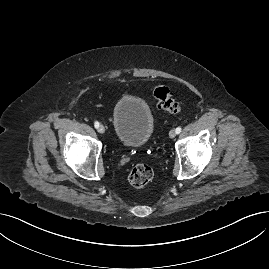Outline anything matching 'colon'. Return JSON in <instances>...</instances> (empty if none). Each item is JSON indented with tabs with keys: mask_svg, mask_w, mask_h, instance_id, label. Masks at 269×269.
Wrapping results in <instances>:
<instances>
[{
	"mask_svg": "<svg viewBox=\"0 0 269 269\" xmlns=\"http://www.w3.org/2000/svg\"><path fill=\"white\" fill-rule=\"evenodd\" d=\"M153 93L160 109L173 114L181 112V105L172 97L171 91L168 87L156 86ZM152 178L153 171L151 167L146 164L136 165L129 174V182L135 188L146 187Z\"/></svg>",
	"mask_w": 269,
	"mask_h": 269,
	"instance_id": "1",
	"label": "colon"
}]
</instances>
